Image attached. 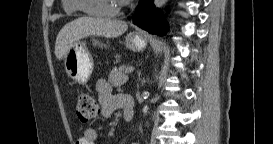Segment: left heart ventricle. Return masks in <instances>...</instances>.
<instances>
[{"label":"left heart ventricle","mask_w":273,"mask_h":144,"mask_svg":"<svg viewBox=\"0 0 273 144\" xmlns=\"http://www.w3.org/2000/svg\"><path fill=\"white\" fill-rule=\"evenodd\" d=\"M87 4L97 10H112L118 6L117 0H90Z\"/></svg>","instance_id":"left-heart-ventricle-1"}]
</instances>
